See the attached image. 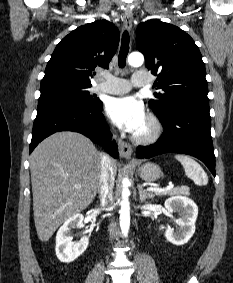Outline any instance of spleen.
Listing matches in <instances>:
<instances>
[{"label": "spleen", "instance_id": "spleen-1", "mask_svg": "<svg viewBox=\"0 0 233 283\" xmlns=\"http://www.w3.org/2000/svg\"><path fill=\"white\" fill-rule=\"evenodd\" d=\"M175 158L182 164L185 175L192 179L198 186H204L208 183V176L203 168L194 159L185 155H175Z\"/></svg>", "mask_w": 233, "mask_h": 283}]
</instances>
